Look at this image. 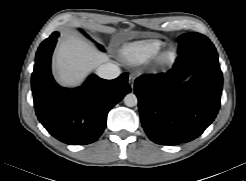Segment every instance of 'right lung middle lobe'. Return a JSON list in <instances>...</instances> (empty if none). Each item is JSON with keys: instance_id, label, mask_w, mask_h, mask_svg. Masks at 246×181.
Returning <instances> with one entry per match:
<instances>
[{"instance_id": "right-lung-middle-lobe-1", "label": "right lung middle lobe", "mask_w": 246, "mask_h": 181, "mask_svg": "<svg viewBox=\"0 0 246 181\" xmlns=\"http://www.w3.org/2000/svg\"><path fill=\"white\" fill-rule=\"evenodd\" d=\"M54 34H55V32H54L50 37H52ZM47 39H48V38H47ZM47 39H46V41H48ZM44 41H45V40H44ZM99 47H100L101 50H103V47H102V46H99Z\"/></svg>"}]
</instances>
